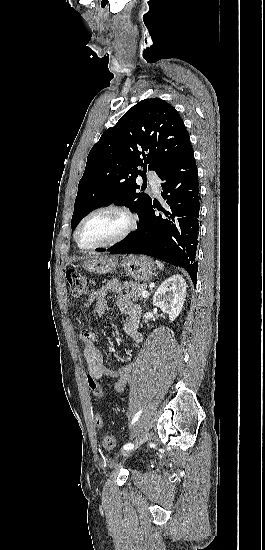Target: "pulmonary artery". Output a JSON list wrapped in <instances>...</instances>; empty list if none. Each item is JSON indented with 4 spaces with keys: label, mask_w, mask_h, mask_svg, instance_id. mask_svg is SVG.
I'll list each match as a JSON object with an SVG mask.
<instances>
[{
    "label": "pulmonary artery",
    "mask_w": 265,
    "mask_h": 550,
    "mask_svg": "<svg viewBox=\"0 0 265 550\" xmlns=\"http://www.w3.org/2000/svg\"><path fill=\"white\" fill-rule=\"evenodd\" d=\"M148 179L152 185L153 192L155 194H159L160 191V179L158 178L157 174L153 171L148 173Z\"/></svg>",
    "instance_id": "obj_1"
}]
</instances>
